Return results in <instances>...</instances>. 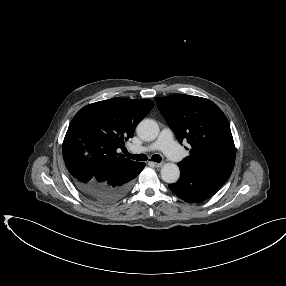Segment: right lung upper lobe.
<instances>
[{
	"label": "right lung upper lobe",
	"mask_w": 286,
	"mask_h": 286,
	"mask_svg": "<svg viewBox=\"0 0 286 286\" xmlns=\"http://www.w3.org/2000/svg\"><path fill=\"white\" fill-rule=\"evenodd\" d=\"M153 106L152 100L117 97L83 107L69 125L63 152H80L104 177L136 165L118 150L133 136L136 125Z\"/></svg>",
	"instance_id": "1"
}]
</instances>
